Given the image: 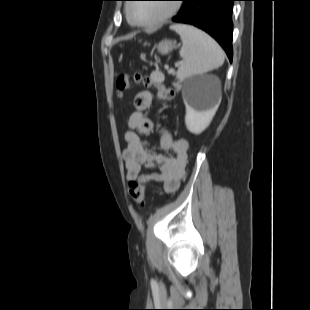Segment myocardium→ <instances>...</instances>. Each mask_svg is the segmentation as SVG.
I'll use <instances>...</instances> for the list:
<instances>
[{"instance_id":"myocardium-1","label":"myocardium","mask_w":310,"mask_h":310,"mask_svg":"<svg viewBox=\"0 0 310 310\" xmlns=\"http://www.w3.org/2000/svg\"><path fill=\"white\" fill-rule=\"evenodd\" d=\"M132 5L133 4H128L126 6L125 13H126L127 19L132 25L137 26V27H142V28H151V27L162 25L164 22H166L171 17H173L179 10V6L171 2L170 4H168L167 11L161 17L155 20H152V21L140 22L132 18V15H131Z\"/></svg>"}]
</instances>
